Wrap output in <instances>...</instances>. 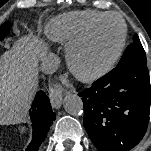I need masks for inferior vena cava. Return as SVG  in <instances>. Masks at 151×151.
<instances>
[{
  "label": "inferior vena cava",
  "instance_id": "obj_1",
  "mask_svg": "<svg viewBox=\"0 0 151 151\" xmlns=\"http://www.w3.org/2000/svg\"><path fill=\"white\" fill-rule=\"evenodd\" d=\"M41 61V69L45 73L55 72L60 64L59 57L53 53L43 55Z\"/></svg>",
  "mask_w": 151,
  "mask_h": 151
}]
</instances>
